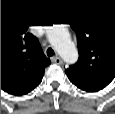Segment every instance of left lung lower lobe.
Returning a JSON list of instances; mask_svg holds the SVG:
<instances>
[{"instance_id": "obj_1", "label": "left lung lower lobe", "mask_w": 115, "mask_h": 114, "mask_svg": "<svg viewBox=\"0 0 115 114\" xmlns=\"http://www.w3.org/2000/svg\"><path fill=\"white\" fill-rule=\"evenodd\" d=\"M80 89H82L84 91H87V92H97V91H99L98 89H94V88H80Z\"/></svg>"}]
</instances>
